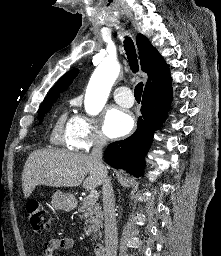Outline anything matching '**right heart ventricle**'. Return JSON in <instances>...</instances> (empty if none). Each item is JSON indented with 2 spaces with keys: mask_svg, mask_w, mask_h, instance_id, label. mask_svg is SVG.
<instances>
[{
  "mask_svg": "<svg viewBox=\"0 0 221 256\" xmlns=\"http://www.w3.org/2000/svg\"><path fill=\"white\" fill-rule=\"evenodd\" d=\"M68 124L66 113H61L56 119L52 132H51V142L63 147H71L68 139Z\"/></svg>",
  "mask_w": 221,
  "mask_h": 256,
  "instance_id": "right-heart-ventricle-1",
  "label": "right heart ventricle"
}]
</instances>
